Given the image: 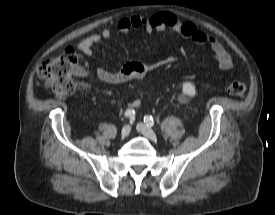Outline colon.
Here are the masks:
<instances>
[{
    "instance_id": "1",
    "label": "colon",
    "mask_w": 275,
    "mask_h": 215,
    "mask_svg": "<svg viewBox=\"0 0 275 215\" xmlns=\"http://www.w3.org/2000/svg\"><path fill=\"white\" fill-rule=\"evenodd\" d=\"M80 73V54L74 48H66L60 56L46 60L38 71L46 87L58 98H66L76 91L75 76ZM82 90L90 93L92 87L84 83ZM226 91L234 96H243L247 92V85L241 81H232L226 85Z\"/></svg>"
}]
</instances>
